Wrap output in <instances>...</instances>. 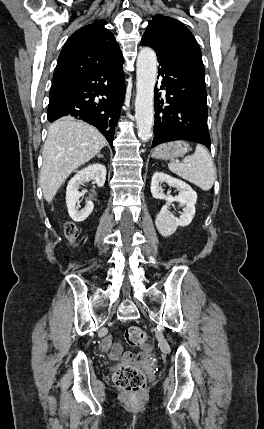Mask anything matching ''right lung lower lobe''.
<instances>
[{
	"label": "right lung lower lobe",
	"instance_id": "right-lung-lower-lobe-1",
	"mask_svg": "<svg viewBox=\"0 0 264 429\" xmlns=\"http://www.w3.org/2000/svg\"><path fill=\"white\" fill-rule=\"evenodd\" d=\"M122 53L77 80L50 92L48 120L74 116L95 126L113 148L114 129L125 93ZM105 96L97 101L96 96Z\"/></svg>",
	"mask_w": 264,
	"mask_h": 429
}]
</instances>
